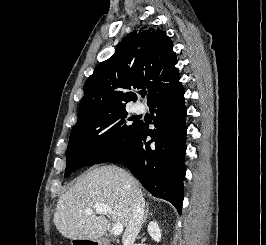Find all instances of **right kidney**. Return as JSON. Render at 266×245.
I'll use <instances>...</instances> for the list:
<instances>
[{"instance_id": "1", "label": "right kidney", "mask_w": 266, "mask_h": 245, "mask_svg": "<svg viewBox=\"0 0 266 245\" xmlns=\"http://www.w3.org/2000/svg\"><path fill=\"white\" fill-rule=\"evenodd\" d=\"M147 231H148L150 237H152L153 241H157V243H159V241H161V231H160L159 225H158V223H156V221H150V223L147 227Z\"/></svg>"}]
</instances>
